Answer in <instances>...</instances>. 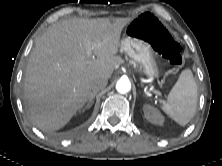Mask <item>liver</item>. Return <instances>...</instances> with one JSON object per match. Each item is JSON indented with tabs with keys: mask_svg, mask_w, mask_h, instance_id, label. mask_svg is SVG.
<instances>
[{
	"mask_svg": "<svg viewBox=\"0 0 222 166\" xmlns=\"http://www.w3.org/2000/svg\"><path fill=\"white\" fill-rule=\"evenodd\" d=\"M131 20H63L37 39L27 64L24 97L40 130L63 128L93 94V82L111 77L123 62L117 55L120 36ZM92 54L97 58L91 59Z\"/></svg>",
	"mask_w": 222,
	"mask_h": 166,
	"instance_id": "1",
	"label": "liver"
}]
</instances>
